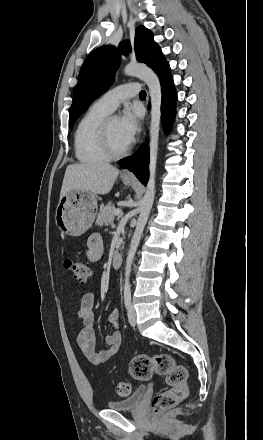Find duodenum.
Returning <instances> with one entry per match:
<instances>
[{
    "mask_svg": "<svg viewBox=\"0 0 263 440\" xmlns=\"http://www.w3.org/2000/svg\"><path fill=\"white\" fill-rule=\"evenodd\" d=\"M122 262H123V253L121 250H119V251L115 252L113 255L112 267L117 270L121 267Z\"/></svg>",
    "mask_w": 263,
    "mask_h": 440,
    "instance_id": "410a0bca",
    "label": "duodenum"
}]
</instances>
